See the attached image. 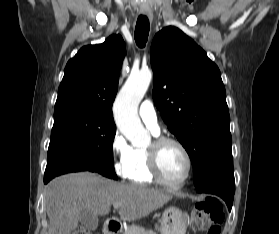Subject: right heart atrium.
<instances>
[{
    "instance_id": "d8ad5b80",
    "label": "right heart atrium",
    "mask_w": 279,
    "mask_h": 234,
    "mask_svg": "<svg viewBox=\"0 0 279 234\" xmlns=\"http://www.w3.org/2000/svg\"><path fill=\"white\" fill-rule=\"evenodd\" d=\"M114 170L121 176L125 177L126 175V165L129 160L132 147L127 142L125 136L116 130L110 144Z\"/></svg>"
}]
</instances>
